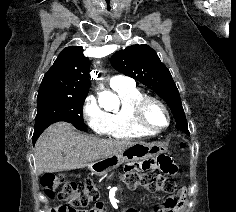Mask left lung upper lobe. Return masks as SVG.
Masks as SVG:
<instances>
[{"instance_id": "obj_1", "label": "left lung upper lobe", "mask_w": 236, "mask_h": 212, "mask_svg": "<svg viewBox=\"0 0 236 212\" xmlns=\"http://www.w3.org/2000/svg\"><path fill=\"white\" fill-rule=\"evenodd\" d=\"M112 66L126 76L134 78L155 91L170 107L176 128L189 133L180 95L170 71L148 45H132L116 52Z\"/></svg>"}]
</instances>
